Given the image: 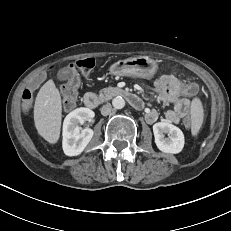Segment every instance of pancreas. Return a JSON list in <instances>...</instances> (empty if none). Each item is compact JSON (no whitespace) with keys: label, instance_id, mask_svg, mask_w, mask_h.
<instances>
[{"label":"pancreas","instance_id":"cf45deb5","mask_svg":"<svg viewBox=\"0 0 231 231\" xmlns=\"http://www.w3.org/2000/svg\"><path fill=\"white\" fill-rule=\"evenodd\" d=\"M109 92H110V88H104V89H102L100 91L99 99L101 101L108 100L110 98Z\"/></svg>","mask_w":231,"mask_h":231}]
</instances>
